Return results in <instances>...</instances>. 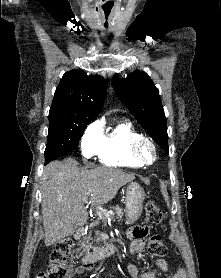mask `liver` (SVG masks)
<instances>
[{
	"label": "liver",
	"mask_w": 221,
	"mask_h": 278,
	"mask_svg": "<svg viewBox=\"0 0 221 278\" xmlns=\"http://www.w3.org/2000/svg\"><path fill=\"white\" fill-rule=\"evenodd\" d=\"M42 178L45 245L51 246L86 223L88 197L92 206L105 204L135 177L110 167L80 169L76 160L67 158L44 167Z\"/></svg>",
	"instance_id": "1"
}]
</instances>
